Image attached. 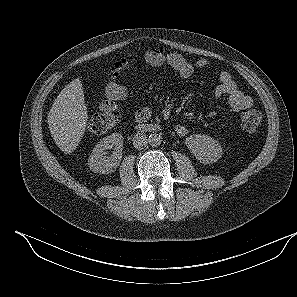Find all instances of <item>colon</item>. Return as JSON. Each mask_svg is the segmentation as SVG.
<instances>
[{"label":"colon","instance_id":"1","mask_svg":"<svg viewBox=\"0 0 297 297\" xmlns=\"http://www.w3.org/2000/svg\"><path fill=\"white\" fill-rule=\"evenodd\" d=\"M131 58L116 62L112 69V77L119 76L131 63ZM262 113L256 109L245 111L241 116L240 128L244 133L255 132L262 122ZM120 121L119 112L113 109H102L88 123V131L95 135H102L114 128Z\"/></svg>","mask_w":297,"mask_h":297}]
</instances>
